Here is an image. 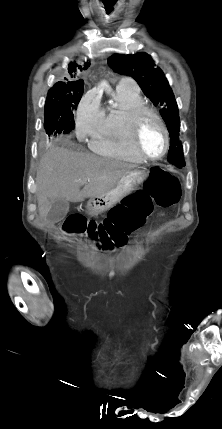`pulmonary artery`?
Instances as JSON below:
<instances>
[{"label": "pulmonary artery", "mask_w": 222, "mask_h": 429, "mask_svg": "<svg viewBox=\"0 0 222 429\" xmlns=\"http://www.w3.org/2000/svg\"><path fill=\"white\" fill-rule=\"evenodd\" d=\"M117 88H122V89H137L136 85L130 81L129 79H122Z\"/></svg>", "instance_id": "obj_1"}]
</instances>
